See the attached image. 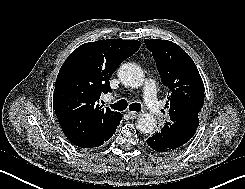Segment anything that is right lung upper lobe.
Wrapping results in <instances>:
<instances>
[{
  "instance_id": "1",
  "label": "right lung upper lobe",
  "mask_w": 245,
  "mask_h": 189,
  "mask_svg": "<svg viewBox=\"0 0 245 189\" xmlns=\"http://www.w3.org/2000/svg\"><path fill=\"white\" fill-rule=\"evenodd\" d=\"M140 45L138 40H100L79 46L65 60L56 79L54 109L76 146L96 144L115 133L123 115L102 108L99 99L111 91L109 80L119 64Z\"/></svg>"
}]
</instances>
